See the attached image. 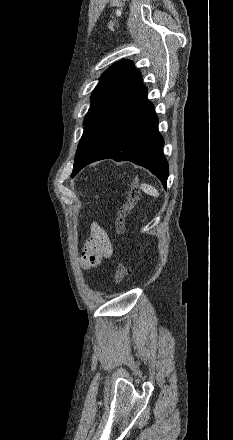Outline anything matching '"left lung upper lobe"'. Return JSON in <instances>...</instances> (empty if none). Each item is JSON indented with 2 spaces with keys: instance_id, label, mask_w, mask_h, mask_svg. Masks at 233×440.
Wrapping results in <instances>:
<instances>
[{
  "instance_id": "left-lung-upper-lobe-1",
  "label": "left lung upper lobe",
  "mask_w": 233,
  "mask_h": 440,
  "mask_svg": "<svg viewBox=\"0 0 233 440\" xmlns=\"http://www.w3.org/2000/svg\"><path fill=\"white\" fill-rule=\"evenodd\" d=\"M144 89L141 74L129 60L106 70L91 95L84 132L74 160L75 169L86 159L115 117Z\"/></svg>"
}]
</instances>
